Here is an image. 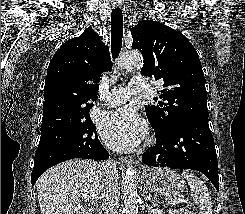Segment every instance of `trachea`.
Here are the masks:
<instances>
[{"mask_svg":"<svg viewBox=\"0 0 245 214\" xmlns=\"http://www.w3.org/2000/svg\"><path fill=\"white\" fill-rule=\"evenodd\" d=\"M123 38V14L120 8L112 10L111 15V52L113 59H116L122 48Z\"/></svg>","mask_w":245,"mask_h":214,"instance_id":"1","label":"trachea"}]
</instances>
